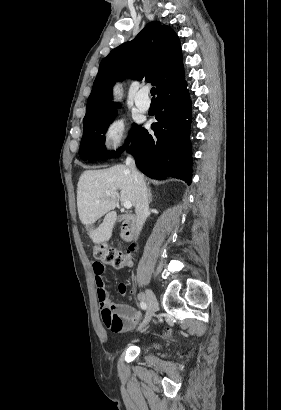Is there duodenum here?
Returning a JSON list of instances; mask_svg holds the SVG:
<instances>
[{"label":"duodenum","instance_id":"1","mask_svg":"<svg viewBox=\"0 0 281 410\" xmlns=\"http://www.w3.org/2000/svg\"><path fill=\"white\" fill-rule=\"evenodd\" d=\"M118 220L122 223L124 237L127 241L133 237V226L136 221V217L133 214H124L118 217Z\"/></svg>","mask_w":281,"mask_h":410}]
</instances>
